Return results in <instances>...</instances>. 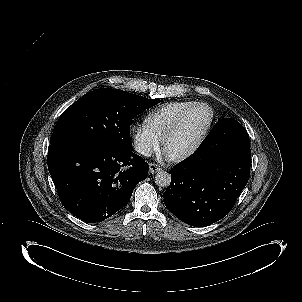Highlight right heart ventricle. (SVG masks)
I'll return each instance as SVG.
<instances>
[{
	"label": "right heart ventricle",
	"mask_w": 302,
	"mask_h": 302,
	"mask_svg": "<svg viewBox=\"0 0 302 302\" xmlns=\"http://www.w3.org/2000/svg\"><path fill=\"white\" fill-rule=\"evenodd\" d=\"M190 105V102H174L162 106L148 117L147 128L153 135L164 138L177 117Z\"/></svg>",
	"instance_id": "right-heart-ventricle-1"
}]
</instances>
